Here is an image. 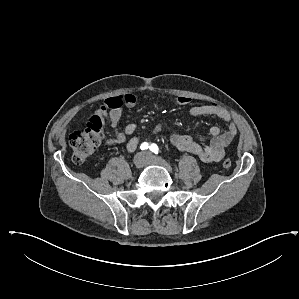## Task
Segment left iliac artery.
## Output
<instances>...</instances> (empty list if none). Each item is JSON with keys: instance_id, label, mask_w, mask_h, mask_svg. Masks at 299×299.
Masks as SVG:
<instances>
[{"instance_id": "1", "label": "left iliac artery", "mask_w": 299, "mask_h": 299, "mask_svg": "<svg viewBox=\"0 0 299 299\" xmlns=\"http://www.w3.org/2000/svg\"><path fill=\"white\" fill-rule=\"evenodd\" d=\"M149 149H150L153 153H155V154H158V152H159V148H158V146H157L156 144H154V143H152V144L149 146Z\"/></svg>"}]
</instances>
